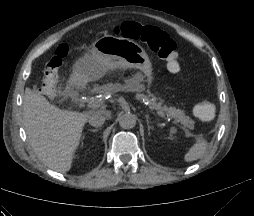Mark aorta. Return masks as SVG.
I'll return each instance as SVG.
<instances>
[{
	"label": "aorta",
	"mask_w": 254,
	"mask_h": 216,
	"mask_svg": "<svg viewBox=\"0 0 254 216\" xmlns=\"http://www.w3.org/2000/svg\"><path fill=\"white\" fill-rule=\"evenodd\" d=\"M118 122L123 129H131L136 125V116L131 113H122L118 116Z\"/></svg>",
	"instance_id": "obj_1"
}]
</instances>
